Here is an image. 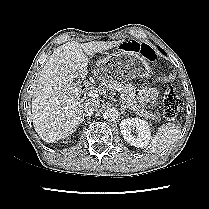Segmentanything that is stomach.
Returning a JSON list of instances; mask_svg holds the SVG:
<instances>
[{
  "instance_id": "obj_1",
  "label": "stomach",
  "mask_w": 209,
  "mask_h": 209,
  "mask_svg": "<svg viewBox=\"0 0 209 209\" xmlns=\"http://www.w3.org/2000/svg\"><path fill=\"white\" fill-rule=\"evenodd\" d=\"M101 74L108 81L130 80L137 76L151 75L148 62L136 52L120 51L106 57L101 63Z\"/></svg>"
}]
</instances>
